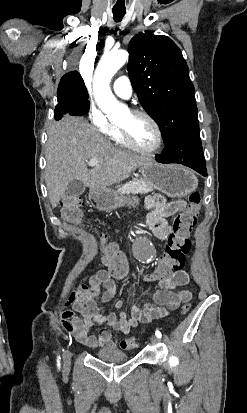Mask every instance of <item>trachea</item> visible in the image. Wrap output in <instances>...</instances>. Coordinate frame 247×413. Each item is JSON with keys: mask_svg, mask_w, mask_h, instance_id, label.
Returning a JSON list of instances; mask_svg holds the SVG:
<instances>
[{"mask_svg": "<svg viewBox=\"0 0 247 413\" xmlns=\"http://www.w3.org/2000/svg\"><path fill=\"white\" fill-rule=\"evenodd\" d=\"M126 11H113L115 22H120L124 17Z\"/></svg>", "mask_w": 247, "mask_h": 413, "instance_id": "obj_1", "label": "trachea"}]
</instances>
